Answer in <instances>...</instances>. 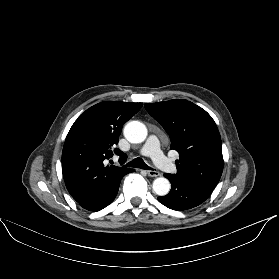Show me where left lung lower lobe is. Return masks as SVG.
Wrapping results in <instances>:
<instances>
[{"label":"left lung lower lobe","instance_id":"obj_1","mask_svg":"<svg viewBox=\"0 0 279 279\" xmlns=\"http://www.w3.org/2000/svg\"><path fill=\"white\" fill-rule=\"evenodd\" d=\"M164 176L169 179L172 188L167 195L158 197V200L170 209L183 211L194 208L203 203L211 194L177 179L174 175L164 174Z\"/></svg>","mask_w":279,"mask_h":279}]
</instances>
